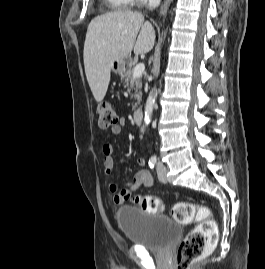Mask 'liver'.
<instances>
[{
  "mask_svg": "<svg viewBox=\"0 0 265 269\" xmlns=\"http://www.w3.org/2000/svg\"><path fill=\"white\" fill-rule=\"evenodd\" d=\"M155 44V31L141 13L118 10L95 17L88 26L84 43V67L88 84L101 102L110 82L115 60L146 54Z\"/></svg>",
  "mask_w": 265,
  "mask_h": 269,
  "instance_id": "1",
  "label": "liver"
}]
</instances>
